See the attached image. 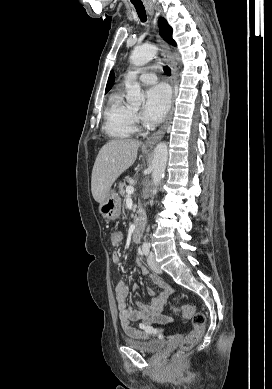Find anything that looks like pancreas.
<instances>
[{"label": "pancreas", "mask_w": 272, "mask_h": 389, "mask_svg": "<svg viewBox=\"0 0 272 389\" xmlns=\"http://www.w3.org/2000/svg\"><path fill=\"white\" fill-rule=\"evenodd\" d=\"M126 182H127L130 186L135 184V180H133L131 177L127 178L126 181L120 183V185H119V193H120L122 196L125 195Z\"/></svg>", "instance_id": "cf45deb5"}]
</instances>
